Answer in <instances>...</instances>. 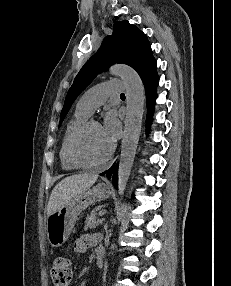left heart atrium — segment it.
Segmentation results:
<instances>
[{"mask_svg": "<svg viewBox=\"0 0 231 286\" xmlns=\"http://www.w3.org/2000/svg\"><path fill=\"white\" fill-rule=\"evenodd\" d=\"M102 129L107 138L114 143L120 134V124L118 120L110 115L105 119Z\"/></svg>", "mask_w": 231, "mask_h": 286, "instance_id": "1", "label": "left heart atrium"}]
</instances>
